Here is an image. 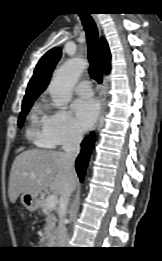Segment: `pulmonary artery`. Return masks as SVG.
<instances>
[{
  "instance_id": "obj_1",
  "label": "pulmonary artery",
  "mask_w": 162,
  "mask_h": 261,
  "mask_svg": "<svg viewBox=\"0 0 162 261\" xmlns=\"http://www.w3.org/2000/svg\"><path fill=\"white\" fill-rule=\"evenodd\" d=\"M76 92L79 96L83 98L91 97L93 95L91 82L88 80H83L79 82L76 86Z\"/></svg>"
}]
</instances>
